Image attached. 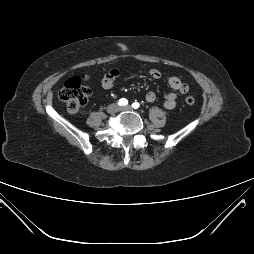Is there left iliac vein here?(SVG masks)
Returning a JSON list of instances; mask_svg holds the SVG:
<instances>
[{
  "label": "left iliac vein",
  "mask_w": 254,
  "mask_h": 254,
  "mask_svg": "<svg viewBox=\"0 0 254 254\" xmlns=\"http://www.w3.org/2000/svg\"><path fill=\"white\" fill-rule=\"evenodd\" d=\"M131 109H132V107H131L130 105L124 106V107H120V110H121V111H129V110H131Z\"/></svg>",
  "instance_id": "1"
}]
</instances>
